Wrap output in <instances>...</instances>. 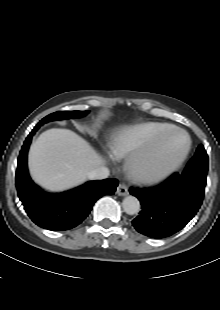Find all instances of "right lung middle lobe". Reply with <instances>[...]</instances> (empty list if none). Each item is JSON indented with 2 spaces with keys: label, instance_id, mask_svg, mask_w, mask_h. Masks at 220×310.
Instances as JSON below:
<instances>
[{
  "label": "right lung middle lobe",
  "instance_id": "1",
  "mask_svg": "<svg viewBox=\"0 0 220 310\" xmlns=\"http://www.w3.org/2000/svg\"><path fill=\"white\" fill-rule=\"evenodd\" d=\"M88 113V111H59L52 113L45 118H43L39 124L43 125L49 121L53 120H61V119H69V118H76V117H83Z\"/></svg>",
  "mask_w": 220,
  "mask_h": 310
}]
</instances>
